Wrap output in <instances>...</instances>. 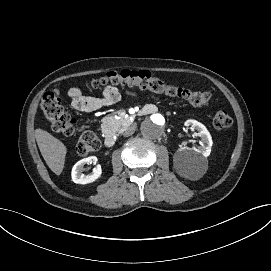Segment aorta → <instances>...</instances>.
I'll return each mask as SVG.
<instances>
[{
    "label": "aorta",
    "mask_w": 271,
    "mask_h": 271,
    "mask_svg": "<svg viewBox=\"0 0 271 271\" xmlns=\"http://www.w3.org/2000/svg\"><path fill=\"white\" fill-rule=\"evenodd\" d=\"M167 126V121L160 113H156L146 118L140 127L141 134L147 139L160 138Z\"/></svg>",
    "instance_id": "aorta-1"
}]
</instances>
